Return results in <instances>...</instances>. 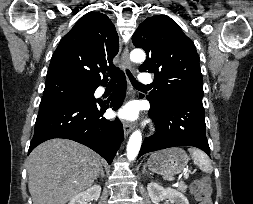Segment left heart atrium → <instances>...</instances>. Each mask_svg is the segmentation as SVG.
Segmentation results:
<instances>
[{"label":"left heart atrium","mask_w":253,"mask_h":204,"mask_svg":"<svg viewBox=\"0 0 253 204\" xmlns=\"http://www.w3.org/2000/svg\"><path fill=\"white\" fill-rule=\"evenodd\" d=\"M117 116L126 122L134 121L138 117V109L134 105H126L118 111Z\"/></svg>","instance_id":"1"}]
</instances>
